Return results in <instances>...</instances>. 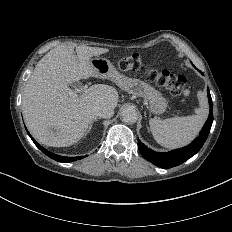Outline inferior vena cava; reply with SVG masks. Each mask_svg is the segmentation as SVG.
<instances>
[{"label":"inferior vena cava","instance_id":"602c4592","mask_svg":"<svg viewBox=\"0 0 232 232\" xmlns=\"http://www.w3.org/2000/svg\"><path fill=\"white\" fill-rule=\"evenodd\" d=\"M94 114L102 118H111L114 114V110L110 106L100 105L94 108Z\"/></svg>","mask_w":232,"mask_h":232}]
</instances>
